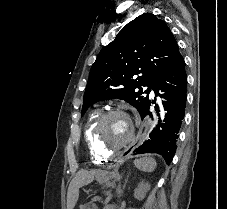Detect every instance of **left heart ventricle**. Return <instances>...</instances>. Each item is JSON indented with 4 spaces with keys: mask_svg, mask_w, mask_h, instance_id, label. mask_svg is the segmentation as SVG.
<instances>
[{
    "mask_svg": "<svg viewBox=\"0 0 227 209\" xmlns=\"http://www.w3.org/2000/svg\"><path fill=\"white\" fill-rule=\"evenodd\" d=\"M131 133V127L126 117L115 115L110 117L102 129V139L107 146L113 147L126 141Z\"/></svg>",
    "mask_w": 227,
    "mask_h": 209,
    "instance_id": "left-heart-ventricle-1",
    "label": "left heart ventricle"
}]
</instances>
